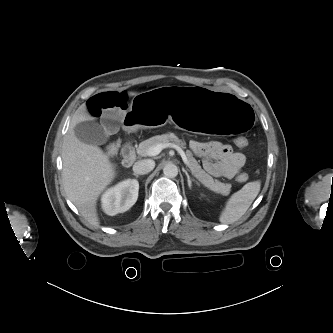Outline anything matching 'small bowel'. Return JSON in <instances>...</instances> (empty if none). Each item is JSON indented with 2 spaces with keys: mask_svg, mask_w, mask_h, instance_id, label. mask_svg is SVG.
<instances>
[{
  "mask_svg": "<svg viewBox=\"0 0 333 333\" xmlns=\"http://www.w3.org/2000/svg\"><path fill=\"white\" fill-rule=\"evenodd\" d=\"M129 96L121 91H107L94 95L86 102L88 115L101 118L107 128L113 129L120 115L127 109ZM192 152L202 158L204 169L215 177L233 178L244 166L246 157L220 142L191 141Z\"/></svg>",
  "mask_w": 333,
  "mask_h": 333,
  "instance_id": "small-bowel-1",
  "label": "small bowel"
}]
</instances>
